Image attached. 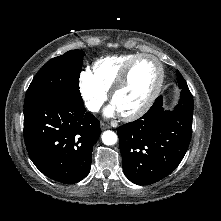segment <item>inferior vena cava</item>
<instances>
[{"label": "inferior vena cava", "mask_w": 221, "mask_h": 221, "mask_svg": "<svg viewBox=\"0 0 221 221\" xmlns=\"http://www.w3.org/2000/svg\"><path fill=\"white\" fill-rule=\"evenodd\" d=\"M88 109L90 111L95 112V111H98L100 109V105L96 104V103H92V104L88 105Z\"/></svg>", "instance_id": "inferior-vena-cava-1"}]
</instances>
